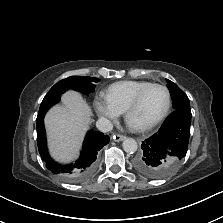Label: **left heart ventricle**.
<instances>
[{"mask_svg":"<svg viewBox=\"0 0 223 223\" xmlns=\"http://www.w3.org/2000/svg\"><path fill=\"white\" fill-rule=\"evenodd\" d=\"M166 104V92L160 87L151 89L143 97L138 107L129 115V124L142 126L153 122L162 114Z\"/></svg>","mask_w":223,"mask_h":223,"instance_id":"left-heart-ventricle-1","label":"left heart ventricle"}]
</instances>
